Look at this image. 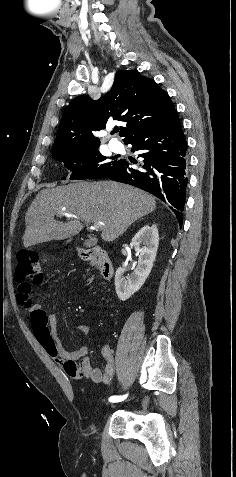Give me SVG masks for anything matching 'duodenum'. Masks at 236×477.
<instances>
[{
    "label": "duodenum",
    "instance_id": "410a0bca",
    "mask_svg": "<svg viewBox=\"0 0 236 477\" xmlns=\"http://www.w3.org/2000/svg\"><path fill=\"white\" fill-rule=\"evenodd\" d=\"M78 252L83 260L96 263L100 275L104 280L107 281L111 278L113 274V265L103 248L99 246H94L92 248H79Z\"/></svg>",
    "mask_w": 236,
    "mask_h": 477
}]
</instances>
